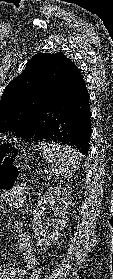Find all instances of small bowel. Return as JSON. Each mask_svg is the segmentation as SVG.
<instances>
[{
	"label": "small bowel",
	"instance_id": "c3829d8e",
	"mask_svg": "<svg viewBox=\"0 0 113 279\" xmlns=\"http://www.w3.org/2000/svg\"><path fill=\"white\" fill-rule=\"evenodd\" d=\"M3 200L15 207L23 205L22 198L15 194H0ZM14 234L16 244L21 252V258L25 264L23 268H4L0 262V279H24L28 271H32L36 267V259L32 252L30 234L24 229L22 223L18 222L14 225Z\"/></svg>",
	"mask_w": 113,
	"mask_h": 279
}]
</instances>
